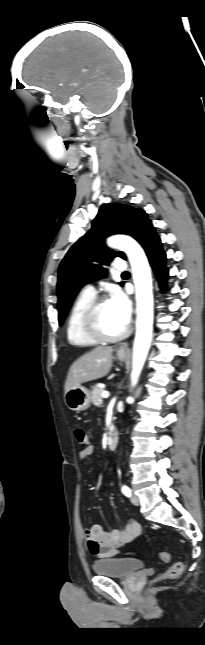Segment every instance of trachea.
Returning <instances> with one entry per match:
<instances>
[{
	"instance_id": "trachea-1",
	"label": "trachea",
	"mask_w": 205,
	"mask_h": 645,
	"mask_svg": "<svg viewBox=\"0 0 205 645\" xmlns=\"http://www.w3.org/2000/svg\"><path fill=\"white\" fill-rule=\"evenodd\" d=\"M127 274H129V272H127V271H126V272H124V273H122V275H127Z\"/></svg>"
}]
</instances>
